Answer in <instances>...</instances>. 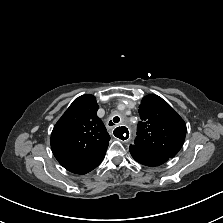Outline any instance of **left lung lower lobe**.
<instances>
[{
  "label": "left lung lower lobe",
  "mask_w": 223,
  "mask_h": 223,
  "mask_svg": "<svg viewBox=\"0 0 223 223\" xmlns=\"http://www.w3.org/2000/svg\"><path fill=\"white\" fill-rule=\"evenodd\" d=\"M132 157L145 166H158L165 163L169 158L160 154L152 153L142 150L136 146L130 145L129 147Z\"/></svg>",
  "instance_id": "left-lung-lower-lobe-1"
}]
</instances>
